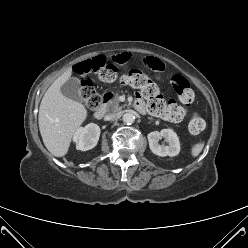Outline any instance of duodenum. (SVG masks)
<instances>
[{
    "label": "duodenum",
    "mask_w": 248,
    "mask_h": 248,
    "mask_svg": "<svg viewBox=\"0 0 248 248\" xmlns=\"http://www.w3.org/2000/svg\"><path fill=\"white\" fill-rule=\"evenodd\" d=\"M111 98L110 94H104L101 96L102 99V104L99 106V108L97 110H95L94 112V117L96 119H101L103 118V116L105 115L106 112V103L108 102V100ZM135 107L137 109L141 108V104L139 102H135Z\"/></svg>",
    "instance_id": "1"
}]
</instances>
